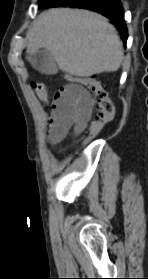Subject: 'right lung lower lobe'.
Segmentation results:
<instances>
[{
  "label": "right lung lower lobe",
  "instance_id": "98d812e1",
  "mask_svg": "<svg viewBox=\"0 0 148 279\" xmlns=\"http://www.w3.org/2000/svg\"><path fill=\"white\" fill-rule=\"evenodd\" d=\"M50 7L83 8L102 14L112 20L126 45L128 32L123 18V6L119 0H50L45 8Z\"/></svg>",
  "mask_w": 148,
  "mask_h": 279
}]
</instances>
